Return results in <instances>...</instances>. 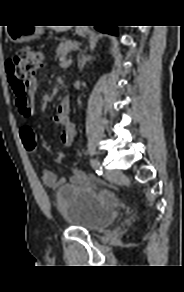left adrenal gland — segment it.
I'll return each instance as SVG.
<instances>
[{"label": "left adrenal gland", "mask_w": 184, "mask_h": 292, "mask_svg": "<svg viewBox=\"0 0 184 292\" xmlns=\"http://www.w3.org/2000/svg\"><path fill=\"white\" fill-rule=\"evenodd\" d=\"M91 60L90 56H85L84 54L82 55L81 59L79 60L78 66L80 71H82L84 65L86 64L87 61Z\"/></svg>", "instance_id": "1"}]
</instances>
